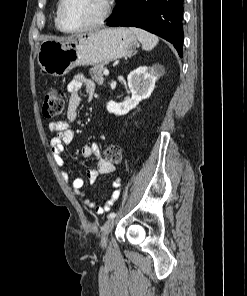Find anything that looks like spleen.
<instances>
[{"label":"spleen","mask_w":247,"mask_h":296,"mask_svg":"<svg viewBox=\"0 0 247 296\" xmlns=\"http://www.w3.org/2000/svg\"><path fill=\"white\" fill-rule=\"evenodd\" d=\"M129 30L136 35L142 44V48L146 51L152 50L159 42V39L156 35L151 34L143 29L130 28Z\"/></svg>","instance_id":"1"}]
</instances>
